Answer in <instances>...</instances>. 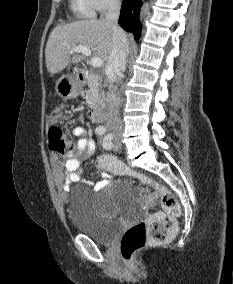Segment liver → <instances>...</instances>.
Wrapping results in <instances>:
<instances>
[{
	"mask_svg": "<svg viewBox=\"0 0 233 284\" xmlns=\"http://www.w3.org/2000/svg\"><path fill=\"white\" fill-rule=\"evenodd\" d=\"M78 45L87 46L96 57L108 62L113 46L112 25L104 19H90L56 26L45 49L48 72L59 73L70 63H79L84 56L70 53Z\"/></svg>",
	"mask_w": 233,
	"mask_h": 284,
	"instance_id": "1",
	"label": "liver"
}]
</instances>
